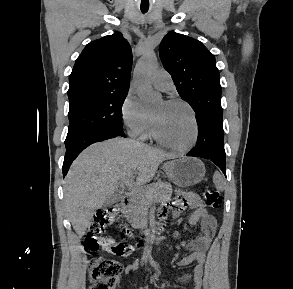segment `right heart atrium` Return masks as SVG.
Instances as JSON below:
<instances>
[{"label": "right heart atrium", "instance_id": "obj_1", "mask_svg": "<svg viewBox=\"0 0 293 289\" xmlns=\"http://www.w3.org/2000/svg\"><path fill=\"white\" fill-rule=\"evenodd\" d=\"M121 118L127 132L133 137L143 135L151 123L150 115L132 93H129L123 101Z\"/></svg>", "mask_w": 293, "mask_h": 289}]
</instances>
